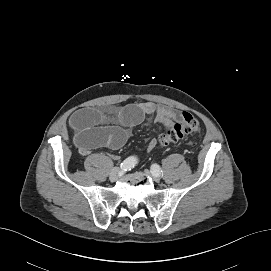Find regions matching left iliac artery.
Here are the masks:
<instances>
[{
  "mask_svg": "<svg viewBox=\"0 0 271 271\" xmlns=\"http://www.w3.org/2000/svg\"><path fill=\"white\" fill-rule=\"evenodd\" d=\"M151 173L153 174V175H161V168H160V166L159 165H157V164H153L152 166H151Z\"/></svg>",
  "mask_w": 271,
  "mask_h": 271,
  "instance_id": "44dca946",
  "label": "left iliac artery"
}]
</instances>
